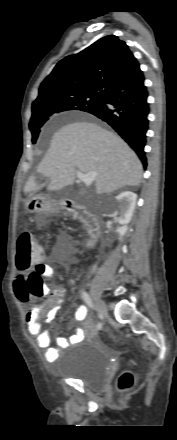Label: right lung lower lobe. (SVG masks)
I'll list each match as a JSON object with an SVG mask.
<instances>
[{
    "mask_svg": "<svg viewBox=\"0 0 177 440\" xmlns=\"http://www.w3.org/2000/svg\"><path fill=\"white\" fill-rule=\"evenodd\" d=\"M147 97L144 75L139 69L106 92L98 105L86 111L111 125L136 152L144 167L147 166L144 146L149 128Z\"/></svg>",
    "mask_w": 177,
    "mask_h": 440,
    "instance_id": "98d812e1",
    "label": "right lung lower lobe"
}]
</instances>
